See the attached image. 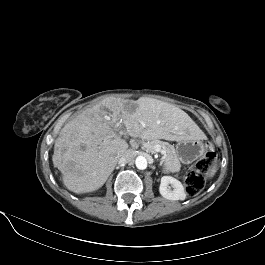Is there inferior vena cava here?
I'll return each mask as SVG.
<instances>
[{
  "label": "inferior vena cava",
  "instance_id": "inferior-vena-cava-1",
  "mask_svg": "<svg viewBox=\"0 0 265 265\" xmlns=\"http://www.w3.org/2000/svg\"><path fill=\"white\" fill-rule=\"evenodd\" d=\"M134 158V152L132 150H126L124 154L119 158V163H129Z\"/></svg>",
  "mask_w": 265,
  "mask_h": 265
}]
</instances>
